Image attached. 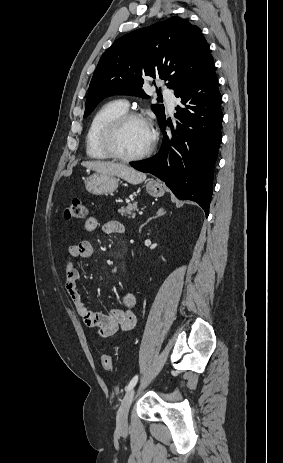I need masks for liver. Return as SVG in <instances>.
<instances>
[{"label":"liver","mask_w":283,"mask_h":463,"mask_svg":"<svg viewBox=\"0 0 283 463\" xmlns=\"http://www.w3.org/2000/svg\"><path fill=\"white\" fill-rule=\"evenodd\" d=\"M81 165L99 174L120 177L133 185L140 184L146 179L145 173L139 172L122 163L110 161H85L82 162Z\"/></svg>","instance_id":"6515ba94"}]
</instances>
